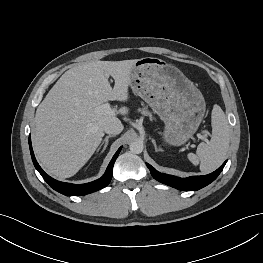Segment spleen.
Here are the masks:
<instances>
[{
	"label": "spleen",
	"mask_w": 263,
	"mask_h": 263,
	"mask_svg": "<svg viewBox=\"0 0 263 263\" xmlns=\"http://www.w3.org/2000/svg\"><path fill=\"white\" fill-rule=\"evenodd\" d=\"M211 139L198 145L196 154L189 153L188 159L194 164H200L202 173L216 170L225 160L229 144L230 129L228 120L219 105H214L211 113Z\"/></svg>",
	"instance_id": "1"
}]
</instances>
